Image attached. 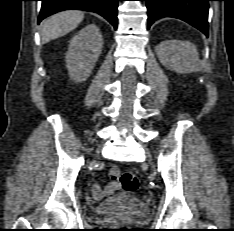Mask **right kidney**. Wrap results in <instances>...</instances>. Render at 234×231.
I'll return each instance as SVG.
<instances>
[{
	"mask_svg": "<svg viewBox=\"0 0 234 231\" xmlns=\"http://www.w3.org/2000/svg\"><path fill=\"white\" fill-rule=\"evenodd\" d=\"M103 46V38L95 24L87 25L72 40L66 52V67L73 81L86 80L98 61Z\"/></svg>",
	"mask_w": 234,
	"mask_h": 231,
	"instance_id": "1",
	"label": "right kidney"
}]
</instances>
